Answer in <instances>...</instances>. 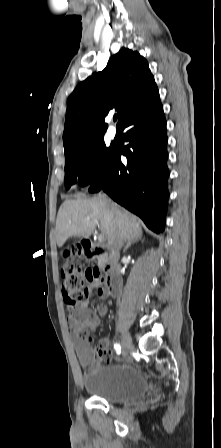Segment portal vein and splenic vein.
<instances>
[{
	"instance_id": "portal-vein-and-splenic-vein-1",
	"label": "portal vein and splenic vein",
	"mask_w": 221,
	"mask_h": 448,
	"mask_svg": "<svg viewBox=\"0 0 221 448\" xmlns=\"http://www.w3.org/2000/svg\"><path fill=\"white\" fill-rule=\"evenodd\" d=\"M98 239H99V242H103L104 241V235H99V237H98Z\"/></svg>"
}]
</instances>
